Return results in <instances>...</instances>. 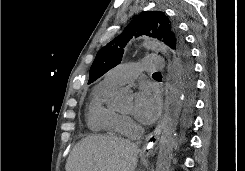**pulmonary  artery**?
<instances>
[{
	"label": "pulmonary artery",
	"mask_w": 245,
	"mask_h": 171,
	"mask_svg": "<svg viewBox=\"0 0 245 171\" xmlns=\"http://www.w3.org/2000/svg\"><path fill=\"white\" fill-rule=\"evenodd\" d=\"M165 67V59L159 55L146 56L142 63H124L106 73L104 81L112 86H120L133 80L141 71L153 72Z\"/></svg>",
	"instance_id": "e3ab8cb5"
}]
</instances>
